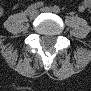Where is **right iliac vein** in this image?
Masks as SVG:
<instances>
[{"instance_id":"63e3f726","label":"right iliac vein","mask_w":91,"mask_h":91,"mask_svg":"<svg viewBox=\"0 0 91 91\" xmlns=\"http://www.w3.org/2000/svg\"><path fill=\"white\" fill-rule=\"evenodd\" d=\"M30 19H35L38 16V11L34 10L28 14Z\"/></svg>"}]
</instances>
